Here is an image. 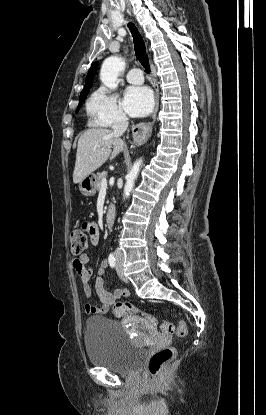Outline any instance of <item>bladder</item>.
Wrapping results in <instances>:
<instances>
[{
	"label": "bladder",
	"mask_w": 266,
	"mask_h": 415,
	"mask_svg": "<svg viewBox=\"0 0 266 415\" xmlns=\"http://www.w3.org/2000/svg\"><path fill=\"white\" fill-rule=\"evenodd\" d=\"M84 344L89 362L116 373L137 371L146 350L135 344L119 322L107 317L86 320Z\"/></svg>",
	"instance_id": "31cf9c89"
}]
</instances>
